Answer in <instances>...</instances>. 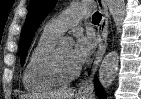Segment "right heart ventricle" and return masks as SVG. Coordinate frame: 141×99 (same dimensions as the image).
I'll list each match as a JSON object with an SVG mask.
<instances>
[{
	"mask_svg": "<svg viewBox=\"0 0 141 99\" xmlns=\"http://www.w3.org/2000/svg\"><path fill=\"white\" fill-rule=\"evenodd\" d=\"M58 41V37L43 31L23 73V85L31 92H44L55 89L61 85L48 75L45 69V62L48 54Z\"/></svg>",
	"mask_w": 141,
	"mask_h": 99,
	"instance_id": "e07e8e85",
	"label": "right heart ventricle"
}]
</instances>
